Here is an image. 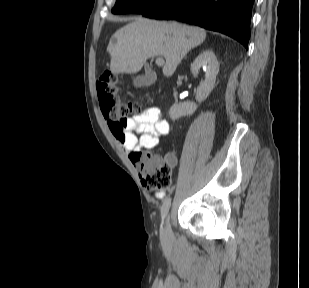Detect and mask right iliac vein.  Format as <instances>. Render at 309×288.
Returning <instances> with one entry per match:
<instances>
[{
	"mask_svg": "<svg viewBox=\"0 0 309 288\" xmlns=\"http://www.w3.org/2000/svg\"><path fill=\"white\" fill-rule=\"evenodd\" d=\"M161 236L165 241L170 240L172 237L171 227H170V217L168 214L165 215V219L161 227Z\"/></svg>",
	"mask_w": 309,
	"mask_h": 288,
	"instance_id": "right-iliac-vein-1",
	"label": "right iliac vein"
}]
</instances>
